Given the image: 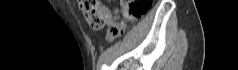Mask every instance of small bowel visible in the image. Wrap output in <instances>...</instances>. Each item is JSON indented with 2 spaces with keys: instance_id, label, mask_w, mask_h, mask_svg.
Listing matches in <instances>:
<instances>
[{
  "instance_id": "obj_1",
  "label": "small bowel",
  "mask_w": 238,
  "mask_h": 70,
  "mask_svg": "<svg viewBox=\"0 0 238 70\" xmlns=\"http://www.w3.org/2000/svg\"><path fill=\"white\" fill-rule=\"evenodd\" d=\"M108 13V12H107ZM107 24L108 26L110 27V29L107 31V34H106V38L108 40H112L114 38H116L117 36H119L120 34H122V32L124 31L125 29V23L123 22H115L113 19L110 18V16L108 15V20H107ZM114 28H118L120 29L122 32H118V33H113L111 32L112 29Z\"/></svg>"
}]
</instances>
